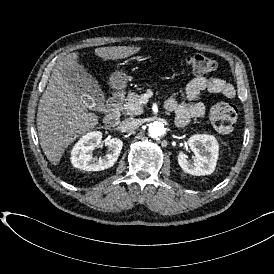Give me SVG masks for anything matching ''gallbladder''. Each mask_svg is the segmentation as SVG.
Instances as JSON below:
<instances>
[{
	"instance_id": "obj_1",
	"label": "gallbladder",
	"mask_w": 274,
	"mask_h": 274,
	"mask_svg": "<svg viewBox=\"0 0 274 274\" xmlns=\"http://www.w3.org/2000/svg\"><path fill=\"white\" fill-rule=\"evenodd\" d=\"M63 76L68 87L74 89L81 104L93 111H100L106 105V98L99 85L90 75L82 74L79 66L70 64L65 67Z\"/></svg>"
}]
</instances>
